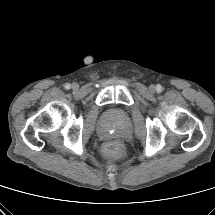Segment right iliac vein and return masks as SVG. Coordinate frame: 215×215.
I'll list each match as a JSON object with an SVG mask.
<instances>
[{
	"instance_id": "right-iliac-vein-1",
	"label": "right iliac vein",
	"mask_w": 215,
	"mask_h": 215,
	"mask_svg": "<svg viewBox=\"0 0 215 215\" xmlns=\"http://www.w3.org/2000/svg\"><path fill=\"white\" fill-rule=\"evenodd\" d=\"M71 87L73 90H78L79 85L77 83H73Z\"/></svg>"
}]
</instances>
